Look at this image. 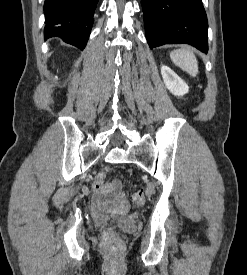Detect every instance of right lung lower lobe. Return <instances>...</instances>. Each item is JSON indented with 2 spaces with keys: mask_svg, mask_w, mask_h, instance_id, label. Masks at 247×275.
<instances>
[{
  "mask_svg": "<svg viewBox=\"0 0 247 275\" xmlns=\"http://www.w3.org/2000/svg\"><path fill=\"white\" fill-rule=\"evenodd\" d=\"M98 0H45V40L60 37L83 50L93 25Z\"/></svg>",
  "mask_w": 247,
  "mask_h": 275,
  "instance_id": "98d812e1",
  "label": "right lung lower lobe"
}]
</instances>
